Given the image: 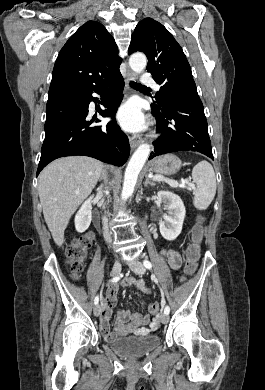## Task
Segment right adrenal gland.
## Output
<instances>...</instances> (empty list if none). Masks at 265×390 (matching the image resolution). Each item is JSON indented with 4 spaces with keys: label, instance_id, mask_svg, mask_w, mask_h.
<instances>
[{
    "label": "right adrenal gland",
    "instance_id": "obj_1",
    "mask_svg": "<svg viewBox=\"0 0 265 390\" xmlns=\"http://www.w3.org/2000/svg\"><path fill=\"white\" fill-rule=\"evenodd\" d=\"M102 180L104 181L105 184H107L108 178H107L106 170H102V176L100 177L99 181H102Z\"/></svg>",
    "mask_w": 265,
    "mask_h": 390
}]
</instances>
